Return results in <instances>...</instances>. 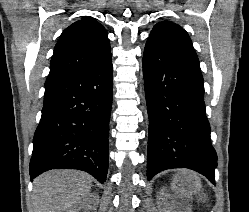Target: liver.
Wrapping results in <instances>:
<instances>
[{"label": "liver", "mask_w": 249, "mask_h": 212, "mask_svg": "<svg viewBox=\"0 0 249 212\" xmlns=\"http://www.w3.org/2000/svg\"><path fill=\"white\" fill-rule=\"evenodd\" d=\"M33 184V212H71L89 196L92 176L79 170H50L35 178ZM201 188L200 178L191 170H179L174 178L173 190L178 196L190 198Z\"/></svg>", "instance_id": "liver-1"}]
</instances>
